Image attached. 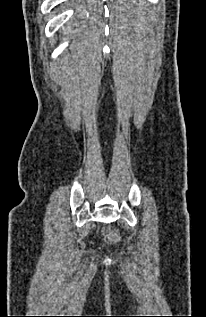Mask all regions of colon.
I'll use <instances>...</instances> for the list:
<instances>
[{"instance_id":"colon-1","label":"colon","mask_w":206,"mask_h":317,"mask_svg":"<svg viewBox=\"0 0 206 317\" xmlns=\"http://www.w3.org/2000/svg\"><path fill=\"white\" fill-rule=\"evenodd\" d=\"M109 236H110L111 239H114V240L117 239V236L114 233H112V232L109 233Z\"/></svg>"}]
</instances>
